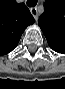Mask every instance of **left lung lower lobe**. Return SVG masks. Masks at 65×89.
Here are the masks:
<instances>
[{
  "label": "left lung lower lobe",
  "instance_id": "1",
  "mask_svg": "<svg viewBox=\"0 0 65 89\" xmlns=\"http://www.w3.org/2000/svg\"><path fill=\"white\" fill-rule=\"evenodd\" d=\"M51 48L58 53H65L64 48H59V47H51Z\"/></svg>",
  "mask_w": 65,
  "mask_h": 89
}]
</instances>
